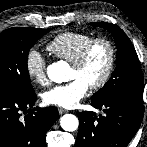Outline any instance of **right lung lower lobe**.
Returning <instances> with one entry per match:
<instances>
[{
  "label": "right lung lower lobe",
  "instance_id": "98d812e1",
  "mask_svg": "<svg viewBox=\"0 0 147 147\" xmlns=\"http://www.w3.org/2000/svg\"><path fill=\"white\" fill-rule=\"evenodd\" d=\"M35 101L34 91L15 97L0 95V147H45L46 133L59 113L54 106L33 108Z\"/></svg>",
  "mask_w": 147,
  "mask_h": 147
}]
</instances>
